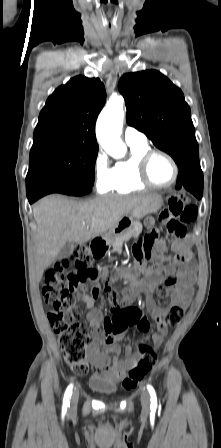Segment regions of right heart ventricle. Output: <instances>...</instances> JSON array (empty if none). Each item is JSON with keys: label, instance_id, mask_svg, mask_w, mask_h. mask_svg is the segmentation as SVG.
I'll use <instances>...</instances> for the list:
<instances>
[{"label": "right heart ventricle", "instance_id": "e07e8e85", "mask_svg": "<svg viewBox=\"0 0 221 448\" xmlns=\"http://www.w3.org/2000/svg\"><path fill=\"white\" fill-rule=\"evenodd\" d=\"M130 150V158L118 162L114 167V179L111 190L116 193H130L147 187L139 180L138 161L145 152L150 150V147L148 144L132 145Z\"/></svg>", "mask_w": 221, "mask_h": 448}]
</instances>
